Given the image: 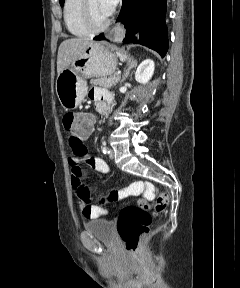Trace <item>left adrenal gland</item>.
<instances>
[{"label": "left adrenal gland", "mask_w": 240, "mask_h": 288, "mask_svg": "<svg viewBox=\"0 0 240 288\" xmlns=\"http://www.w3.org/2000/svg\"><path fill=\"white\" fill-rule=\"evenodd\" d=\"M137 65V61L134 60V59H129L128 62H127V69L124 70V74H123V77L121 79V82H123L129 75L130 73V70L133 68V67H136Z\"/></svg>", "instance_id": "1"}]
</instances>
